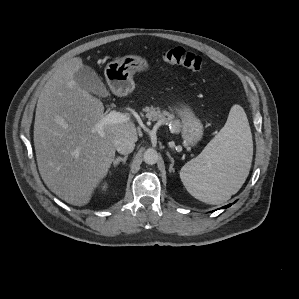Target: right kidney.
Masks as SVG:
<instances>
[{
	"label": "right kidney",
	"instance_id": "ca27d5eb",
	"mask_svg": "<svg viewBox=\"0 0 299 299\" xmlns=\"http://www.w3.org/2000/svg\"><path fill=\"white\" fill-rule=\"evenodd\" d=\"M106 187H107V186H106V185H104V186H103V189H106Z\"/></svg>",
	"mask_w": 299,
	"mask_h": 299
}]
</instances>
